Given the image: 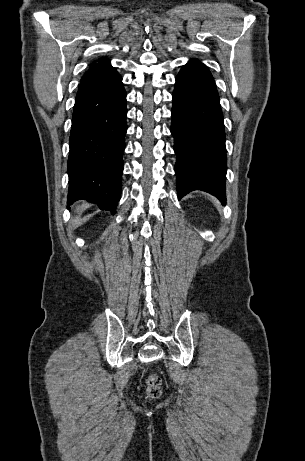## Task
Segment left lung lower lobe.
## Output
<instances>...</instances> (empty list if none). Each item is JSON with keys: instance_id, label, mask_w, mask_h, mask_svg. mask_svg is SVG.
<instances>
[{"instance_id": "left-lung-lower-lobe-1", "label": "left lung lower lobe", "mask_w": 305, "mask_h": 461, "mask_svg": "<svg viewBox=\"0 0 305 461\" xmlns=\"http://www.w3.org/2000/svg\"><path fill=\"white\" fill-rule=\"evenodd\" d=\"M171 133L177 154L178 197L203 190L225 203L226 148L223 115L208 68L192 59L176 77Z\"/></svg>"}]
</instances>
